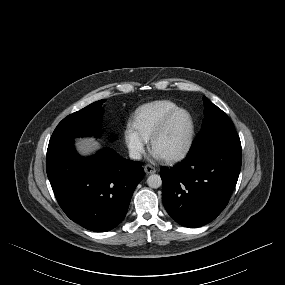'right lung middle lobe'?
<instances>
[{"label":"right lung middle lobe","mask_w":285,"mask_h":285,"mask_svg":"<svg viewBox=\"0 0 285 285\" xmlns=\"http://www.w3.org/2000/svg\"><path fill=\"white\" fill-rule=\"evenodd\" d=\"M105 99L94 102L85 108L64 118L54 130L50 141L65 138H75L79 136H90L91 134L99 137L97 131L102 103Z\"/></svg>","instance_id":"right-lung-middle-lobe-1"}]
</instances>
